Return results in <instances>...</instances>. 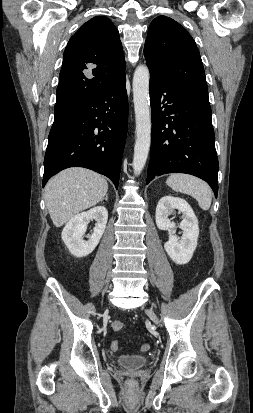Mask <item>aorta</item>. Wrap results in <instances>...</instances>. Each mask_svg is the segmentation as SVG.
Segmentation results:
<instances>
[{"label":"aorta","mask_w":253,"mask_h":413,"mask_svg":"<svg viewBox=\"0 0 253 413\" xmlns=\"http://www.w3.org/2000/svg\"><path fill=\"white\" fill-rule=\"evenodd\" d=\"M150 73L146 65H139L133 76V101L136 121L133 170L139 175L143 170L151 143V114L149 101Z\"/></svg>","instance_id":"1"}]
</instances>
